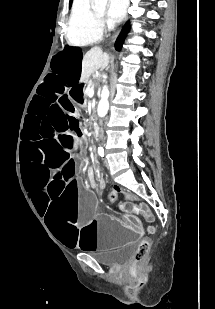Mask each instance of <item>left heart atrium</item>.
Segmentation results:
<instances>
[{
	"label": "left heart atrium",
	"mask_w": 215,
	"mask_h": 309,
	"mask_svg": "<svg viewBox=\"0 0 215 309\" xmlns=\"http://www.w3.org/2000/svg\"><path fill=\"white\" fill-rule=\"evenodd\" d=\"M110 8L107 12V20L110 23H115L121 19L122 12L127 11V6L124 0H109Z\"/></svg>",
	"instance_id": "1"
}]
</instances>
